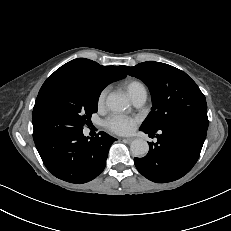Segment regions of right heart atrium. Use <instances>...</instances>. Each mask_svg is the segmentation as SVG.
<instances>
[{"label": "right heart atrium", "mask_w": 231, "mask_h": 231, "mask_svg": "<svg viewBox=\"0 0 231 231\" xmlns=\"http://www.w3.org/2000/svg\"><path fill=\"white\" fill-rule=\"evenodd\" d=\"M106 94H107V90L106 89H103L98 97H97V104L98 106H102L104 104V101H105V97H106Z\"/></svg>", "instance_id": "right-heart-atrium-1"}]
</instances>
